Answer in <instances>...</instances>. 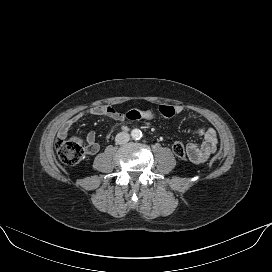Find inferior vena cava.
Segmentation results:
<instances>
[{
	"label": "inferior vena cava",
	"instance_id": "1",
	"mask_svg": "<svg viewBox=\"0 0 272 272\" xmlns=\"http://www.w3.org/2000/svg\"><path fill=\"white\" fill-rule=\"evenodd\" d=\"M130 140V135L127 132H120L115 137L117 144H125Z\"/></svg>",
	"mask_w": 272,
	"mask_h": 272
}]
</instances>
